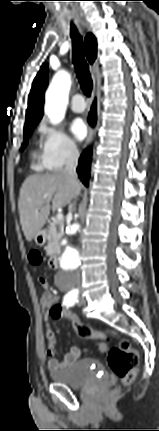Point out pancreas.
<instances>
[{
    "instance_id": "obj_1",
    "label": "pancreas",
    "mask_w": 159,
    "mask_h": 431,
    "mask_svg": "<svg viewBox=\"0 0 159 431\" xmlns=\"http://www.w3.org/2000/svg\"><path fill=\"white\" fill-rule=\"evenodd\" d=\"M63 230V222L54 220L53 225L49 228L50 240L46 247L47 255L52 256L60 251V239L63 237Z\"/></svg>"
}]
</instances>
